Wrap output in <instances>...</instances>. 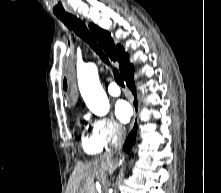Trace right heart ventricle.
Here are the masks:
<instances>
[{
	"label": "right heart ventricle",
	"mask_w": 221,
	"mask_h": 193,
	"mask_svg": "<svg viewBox=\"0 0 221 193\" xmlns=\"http://www.w3.org/2000/svg\"><path fill=\"white\" fill-rule=\"evenodd\" d=\"M82 147L87 154L96 155L101 153L105 146L102 145L93 134H85L82 137Z\"/></svg>",
	"instance_id": "1"
}]
</instances>
